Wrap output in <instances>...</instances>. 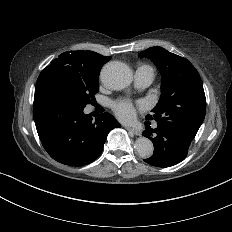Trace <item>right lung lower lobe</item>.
<instances>
[{
    "mask_svg": "<svg viewBox=\"0 0 232 232\" xmlns=\"http://www.w3.org/2000/svg\"><path fill=\"white\" fill-rule=\"evenodd\" d=\"M84 107L49 86L35 87L33 118L41 143L56 161L84 166L102 152L108 133L121 125L109 113L93 120Z\"/></svg>",
    "mask_w": 232,
    "mask_h": 232,
    "instance_id": "obj_1",
    "label": "right lung lower lobe"
}]
</instances>
